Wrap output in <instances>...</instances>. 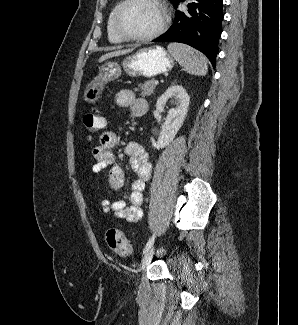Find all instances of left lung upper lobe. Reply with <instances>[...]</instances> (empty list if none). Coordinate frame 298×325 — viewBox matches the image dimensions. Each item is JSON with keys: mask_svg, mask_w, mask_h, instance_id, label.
I'll list each match as a JSON object with an SVG mask.
<instances>
[{"mask_svg": "<svg viewBox=\"0 0 298 325\" xmlns=\"http://www.w3.org/2000/svg\"><path fill=\"white\" fill-rule=\"evenodd\" d=\"M172 3L176 2L177 0H170Z\"/></svg>", "mask_w": 298, "mask_h": 325, "instance_id": "1", "label": "left lung upper lobe"}]
</instances>
